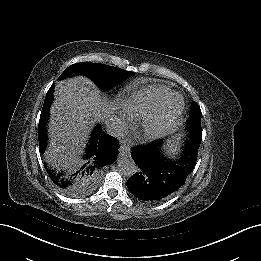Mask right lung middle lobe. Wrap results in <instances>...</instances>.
I'll list each match as a JSON object with an SVG mask.
<instances>
[{
	"label": "right lung middle lobe",
	"mask_w": 261,
	"mask_h": 261,
	"mask_svg": "<svg viewBox=\"0 0 261 261\" xmlns=\"http://www.w3.org/2000/svg\"><path fill=\"white\" fill-rule=\"evenodd\" d=\"M76 73H83L89 76L100 88L107 89L116 85L124 78L131 75L133 72L125 71L113 66L99 63H77L68 67L60 76V78L69 77ZM85 159L79 161H63L57 168L54 176L60 181L74 180V185H71L72 190H64L66 193L80 194L85 183L91 185L97 175H90L89 170L92 165L90 156H85ZM91 183V184H90Z\"/></svg>",
	"instance_id": "obj_1"
}]
</instances>
